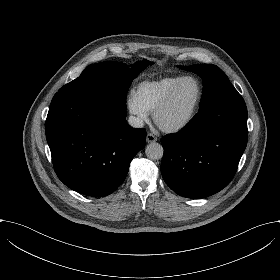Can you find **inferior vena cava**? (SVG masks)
I'll list each match as a JSON object with an SVG mask.
<instances>
[{
    "label": "inferior vena cava",
    "instance_id": "inferior-vena-cava-1",
    "mask_svg": "<svg viewBox=\"0 0 280 280\" xmlns=\"http://www.w3.org/2000/svg\"><path fill=\"white\" fill-rule=\"evenodd\" d=\"M128 123L131 127L140 128L143 127L144 123L143 120L136 116H129Z\"/></svg>",
    "mask_w": 280,
    "mask_h": 280
}]
</instances>
